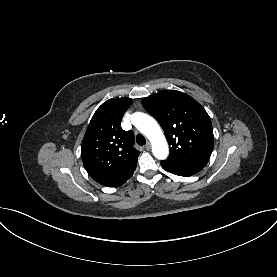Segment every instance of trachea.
Instances as JSON below:
<instances>
[{
    "label": "trachea",
    "instance_id": "3493384b",
    "mask_svg": "<svg viewBox=\"0 0 277 277\" xmlns=\"http://www.w3.org/2000/svg\"><path fill=\"white\" fill-rule=\"evenodd\" d=\"M136 142H137V144L138 145H145L146 144V139H145V137L143 136V135H141V134H138L137 136H136Z\"/></svg>",
    "mask_w": 277,
    "mask_h": 277
}]
</instances>
